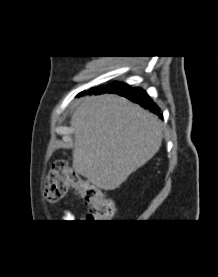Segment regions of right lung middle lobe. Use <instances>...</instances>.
Returning a JSON list of instances; mask_svg holds the SVG:
<instances>
[{
  "label": "right lung middle lobe",
  "instance_id": "obj_1",
  "mask_svg": "<svg viewBox=\"0 0 218 277\" xmlns=\"http://www.w3.org/2000/svg\"><path fill=\"white\" fill-rule=\"evenodd\" d=\"M129 87L128 85L126 84H123V83H114V84H110L104 88H101V92H108V91H114V90H119V89H124V88H127Z\"/></svg>",
  "mask_w": 218,
  "mask_h": 277
}]
</instances>
